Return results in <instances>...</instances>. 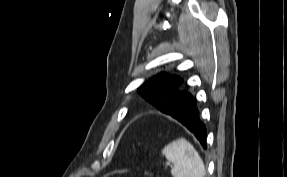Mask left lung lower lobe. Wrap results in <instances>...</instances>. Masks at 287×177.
<instances>
[{
	"label": "left lung lower lobe",
	"mask_w": 287,
	"mask_h": 177,
	"mask_svg": "<svg viewBox=\"0 0 287 177\" xmlns=\"http://www.w3.org/2000/svg\"><path fill=\"white\" fill-rule=\"evenodd\" d=\"M171 102L173 103V107L170 108L168 115L185 125L196 136L201 145L207 148L206 128L200 121L199 111L193 96L183 91L171 99Z\"/></svg>",
	"instance_id": "1"
}]
</instances>
